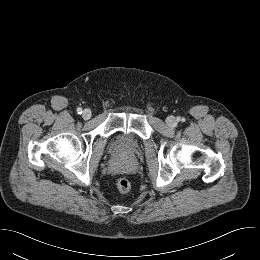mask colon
<instances>
[{
  "label": "colon",
  "mask_w": 260,
  "mask_h": 260,
  "mask_svg": "<svg viewBox=\"0 0 260 260\" xmlns=\"http://www.w3.org/2000/svg\"><path fill=\"white\" fill-rule=\"evenodd\" d=\"M116 188L117 190L122 193V194H126L130 191L131 189V183L129 182L128 179L121 177L117 180L116 182Z\"/></svg>",
  "instance_id": "5ec220e1"
}]
</instances>
